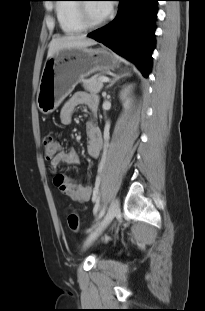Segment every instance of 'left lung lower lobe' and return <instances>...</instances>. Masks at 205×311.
<instances>
[{"label": "left lung lower lobe", "instance_id": "left-lung-lower-lobe-1", "mask_svg": "<svg viewBox=\"0 0 205 311\" xmlns=\"http://www.w3.org/2000/svg\"><path fill=\"white\" fill-rule=\"evenodd\" d=\"M116 18L89 37L133 61L147 77L154 50L155 19L159 0H119Z\"/></svg>", "mask_w": 205, "mask_h": 311}]
</instances>
